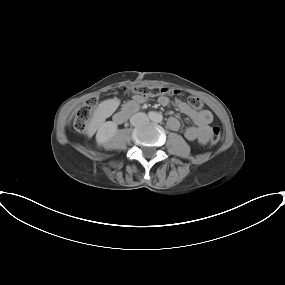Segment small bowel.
Masks as SVG:
<instances>
[{"label": "small bowel", "instance_id": "small-bowel-1", "mask_svg": "<svg viewBox=\"0 0 285 285\" xmlns=\"http://www.w3.org/2000/svg\"><path fill=\"white\" fill-rule=\"evenodd\" d=\"M146 100L145 97L140 95H135L128 103H133L135 105H140ZM160 104L167 105L169 100L166 97H161L159 99ZM176 107L184 115L188 116L194 123V126H189L184 131V137L188 141H198L201 144H206L210 139V124L213 120V115L209 110H195L190 107L187 103L176 100ZM168 127L173 131H178L181 127L180 121L176 117H171L168 119Z\"/></svg>", "mask_w": 285, "mask_h": 285}]
</instances>
